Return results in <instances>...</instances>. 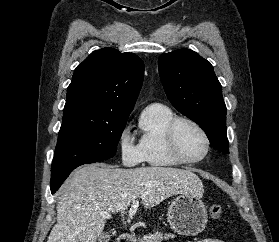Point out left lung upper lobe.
I'll list each match as a JSON object with an SVG mask.
<instances>
[{
    "mask_svg": "<svg viewBox=\"0 0 279 242\" xmlns=\"http://www.w3.org/2000/svg\"><path fill=\"white\" fill-rule=\"evenodd\" d=\"M158 67L173 106L206 132L213 147L229 153L226 105L210 62L190 49H179L161 55Z\"/></svg>",
    "mask_w": 279,
    "mask_h": 242,
    "instance_id": "5c2ea615",
    "label": "left lung upper lobe"
}]
</instances>
